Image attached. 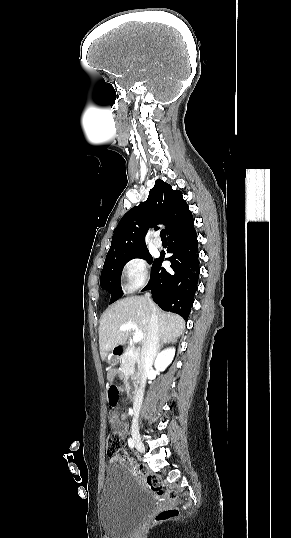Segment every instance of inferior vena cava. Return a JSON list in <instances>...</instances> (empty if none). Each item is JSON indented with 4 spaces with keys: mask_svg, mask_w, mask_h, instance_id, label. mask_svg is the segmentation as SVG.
I'll return each mask as SVG.
<instances>
[{
    "mask_svg": "<svg viewBox=\"0 0 291 538\" xmlns=\"http://www.w3.org/2000/svg\"><path fill=\"white\" fill-rule=\"evenodd\" d=\"M145 296L149 300L152 313H151V317L149 321L146 340L144 341L142 345V350H141V361H142L141 387L137 391V394L135 395L134 403H133V412L136 418L141 408L142 398H143V387L146 382L147 374L152 367V364L155 360V357L157 355V350L159 347V324H158V318H157L155 306L153 302L150 300V294L147 293Z\"/></svg>",
    "mask_w": 291,
    "mask_h": 538,
    "instance_id": "inferior-vena-cava-1",
    "label": "inferior vena cava"
}]
</instances>
